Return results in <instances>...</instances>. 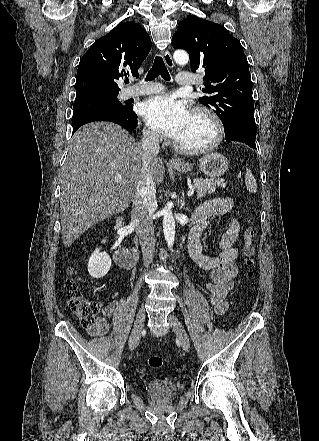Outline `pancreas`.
I'll use <instances>...</instances> for the list:
<instances>
[{"label": "pancreas", "mask_w": 319, "mask_h": 441, "mask_svg": "<svg viewBox=\"0 0 319 441\" xmlns=\"http://www.w3.org/2000/svg\"><path fill=\"white\" fill-rule=\"evenodd\" d=\"M197 192L198 198H203L206 194H211L216 190V187L225 188L226 184L221 179H203L196 178L192 184Z\"/></svg>", "instance_id": "1"}]
</instances>
